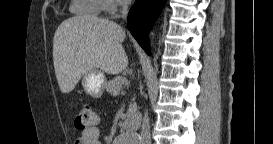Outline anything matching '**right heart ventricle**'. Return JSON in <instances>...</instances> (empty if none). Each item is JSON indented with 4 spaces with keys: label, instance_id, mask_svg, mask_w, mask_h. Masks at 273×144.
<instances>
[{
    "label": "right heart ventricle",
    "instance_id": "e07e8e85",
    "mask_svg": "<svg viewBox=\"0 0 273 144\" xmlns=\"http://www.w3.org/2000/svg\"><path fill=\"white\" fill-rule=\"evenodd\" d=\"M73 13L82 16H96L102 11L101 0H74L70 6Z\"/></svg>",
    "mask_w": 273,
    "mask_h": 144
}]
</instances>
